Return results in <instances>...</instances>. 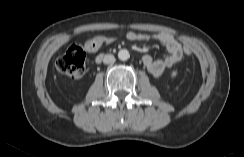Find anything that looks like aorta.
Returning a JSON list of instances; mask_svg holds the SVG:
<instances>
[{
  "label": "aorta",
  "instance_id": "obj_1",
  "mask_svg": "<svg viewBox=\"0 0 244 157\" xmlns=\"http://www.w3.org/2000/svg\"><path fill=\"white\" fill-rule=\"evenodd\" d=\"M118 58L121 60V61H126L130 58V54H129V51L127 49H121L119 52H118Z\"/></svg>",
  "mask_w": 244,
  "mask_h": 157
}]
</instances>
